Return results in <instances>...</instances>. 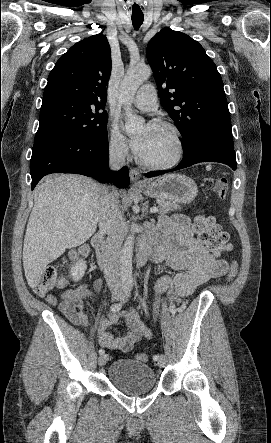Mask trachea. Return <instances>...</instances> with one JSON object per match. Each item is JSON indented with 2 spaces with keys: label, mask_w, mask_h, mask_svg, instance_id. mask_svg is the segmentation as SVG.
Wrapping results in <instances>:
<instances>
[{
  "label": "trachea",
  "mask_w": 271,
  "mask_h": 443,
  "mask_svg": "<svg viewBox=\"0 0 271 443\" xmlns=\"http://www.w3.org/2000/svg\"><path fill=\"white\" fill-rule=\"evenodd\" d=\"M128 4L131 7L133 27L138 30L144 20V10L141 7V2L139 0H128Z\"/></svg>",
  "instance_id": "1"
}]
</instances>
